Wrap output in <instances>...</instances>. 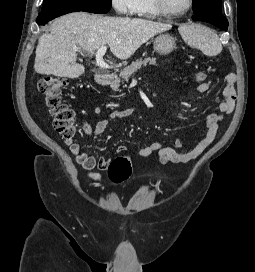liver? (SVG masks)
Returning a JSON list of instances; mask_svg holds the SVG:
<instances>
[{
  "mask_svg": "<svg viewBox=\"0 0 255 272\" xmlns=\"http://www.w3.org/2000/svg\"><path fill=\"white\" fill-rule=\"evenodd\" d=\"M171 28L141 18L70 13L55 19L50 33L39 38L34 69L39 74L77 78L85 72L77 63V50L93 52L109 45L117 58L126 60L157 33Z\"/></svg>",
  "mask_w": 255,
  "mask_h": 272,
  "instance_id": "obj_1",
  "label": "liver"
}]
</instances>
